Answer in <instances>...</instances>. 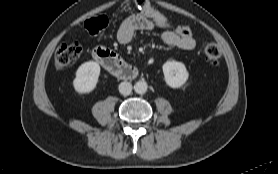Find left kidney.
Returning <instances> with one entry per match:
<instances>
[{
    "label": "left kidney",
    "instance_id": "left-kidney-1",
    "mask_svg": "<svg viewBox=\"0 0 278 174\" xmlns=\"http://www.w3.org/2000/svg\"><path fill=\"white\" fill-rule=\"evenodd\" d=\"M162 68L165 82L171 88H180L189 78V73L181 62L167 61L163 64Z\"/></svg>",
    "mask_w": 278,
    "mask_h": 174
}]
</instances>
